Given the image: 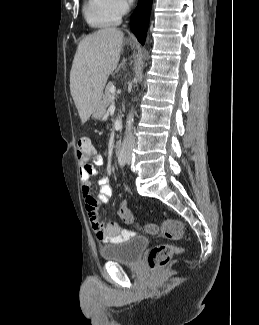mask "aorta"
I'll return each instance as SVG.
<instances>
[{"instance_id": "1", "label": "aorta", "mask_w": 259, "mask_h": 325, "mask_svg": "<svg viewBox=\"0 0 259 325\" xmlns=\"http://www.w3.org/2000/svg\"><path fill=\"white\" fill-rule=\"evenodd\" d=\"M134 109L132 108L131 111L129 112L126 120V134L131 131L133 122H134Z\"/></svg>"}]
</instances>
